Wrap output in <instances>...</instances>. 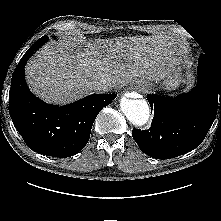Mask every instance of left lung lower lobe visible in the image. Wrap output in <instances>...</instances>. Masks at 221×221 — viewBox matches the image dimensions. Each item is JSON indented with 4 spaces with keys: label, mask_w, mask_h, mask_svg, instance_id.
I'll use <instances>...</instances> for the list:
<instances>
[{
    "label": "left lung lower lobe",
    "mask_w": 221,
    "mask_h": 221,
    "mask_svg": "<svg viewBox=\"0 0 221 221\" xmlns=\"http://www.w3.org/2000/svg\"><path fill=\"white\" fill-rule=\"evenodd\" d=\"M154 118L148 130L133 129V138L145 154L170 159L195 149L204 140L221 104V70L206 55L198 60V83L177 97L147 96Z\"/></svg>",
    "instance_id": "0a47b994"
}]
</instances>
